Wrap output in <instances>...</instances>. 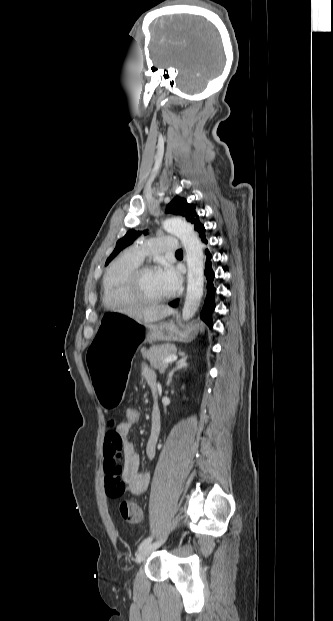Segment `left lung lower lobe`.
Returning a JSON list of instances; mask_svg holds the SVG:
<instances>
[{
    "mask_svg": "<svg viewBox=\"0 0 333 621\" xmlns=\"http://www.w3.org/2000/svg\"><path fill=\"white\" fill-rule=\"evenodd\" d=\"M196 232L198 234V238H199L201 245L206 246L208 244V240L206 237V230H205L204 225H201L199 228H197ZM205 255H206L205 276L207 280V291H206L204 305L201 310V319L211 328L213 326L211 314L214 311L215 306H216L215 304L216 288L213 284L214 271L212 268V254L208 249H206ZM177 303H178V300H174L173 302L170 303V305L172 307H176Z\"/></svg>",
    "mask_w": 333,
    "mask_h": 621,
    "instance_id": "left-lung-lower-lobe-1",
    "label": "left lung lower lobe"
}]
</instances>
